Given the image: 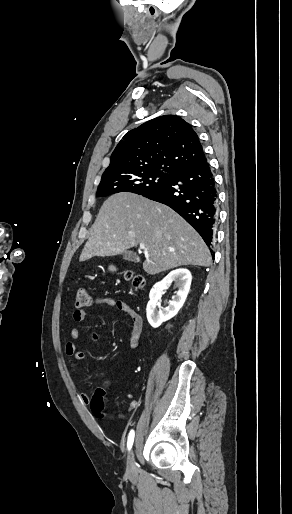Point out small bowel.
<instances>
[{"mask_svg": "<svg viewBox=\"0 0 292 514\" xmlns=\"http://www.w3.org/2000/svg\"><path fill=\"white\" fill-rule=\"evenodd\" d=\"M99 306H108L111 308H114L122 313L127 314L132 319V325L129 328V338H130V345L132 348H137L140 344L139 339L142 331V325L143 321L141 316L133 309L131 308L126 302L120 299H116L110 296H97L93 298L90 303L89 307H99ZM88 316V309H77L73 312V320L76 323H81L87 319ZM70 337L71 340H69L66 343L65 346V352L67 355L71 356L73 358V363L70 364V369L75 368L76 362H81L84 360L85 355L83 352L78 351V339L80 337V331L77 327H73L70 331ZM92 343L94 346L99 345V336L98 334L94 333L92 335ZM102 374H96V378H100ZM74 385H79L80 381L78 378L72 379ZM124 396L126 398H129L131 396V393L129 391H126L124 393ZM80 400L83 403H88L89 401V394L86 392H81L79 394ZM130 404L132 406H135L137 404V401L135 400L134 396L130 397Z\"/></svg>", "mask_w": 292, "mask_h": 514, "instance_id": "c3829d8e", "label": "small bowel"}]
</instances>
